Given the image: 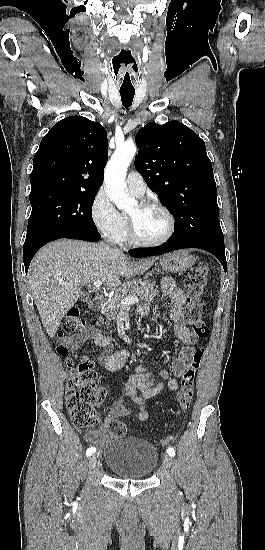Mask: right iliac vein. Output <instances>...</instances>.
I'll return each mask as SVG.
<instances>
[{"label": "right iliac vein", "instance_id": "63e3f726", "mask_svg": "<svg viewBox=\"0 0 265 550\" xmlns=\"http://www.w3.org/2000/svg\"><path fill=\"white\" fill-rule=\"evenodd\" d=\"M96 467H97V459H96V456L93 455L89 459V468L95 469Z\"/></svg>", "mask_w": 265, "mask_h": 550}]
</instances>
